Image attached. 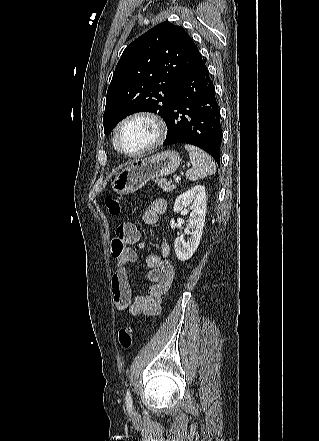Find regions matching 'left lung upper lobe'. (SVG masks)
<instances>
[{"label":"left lung upper lobe","instance_id":"1","mask_svg":"<svg viewBox=\"0 0 319 441\" xmlns=\"http://www.w3.org/2000/svg\"><path fill=\"white\" fill-rule=\"evenodd\" d=\"M200 60L188 33L167 21L132 42L124 50L107 91L105 134L126 116L140 111L158 113L167 123L180 83Z\"/></svg>","mask_w":319,"mask_h":441}]
</instances>
